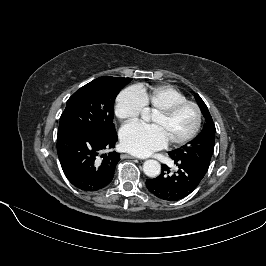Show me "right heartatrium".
I'll use <instances>...</instances> for the list:
<instances>
[{
    "mask_svg": "<svg viewBox=\"0 0 266 266\" xmlns=\"http://www.w3.org/2000/svg\"><path fill=\"white\" fill-rule=\"evenodd\" d=\"M145 108L143 95L138 87L123 89L116 98L115 114L123 121L137 119Z\"/></svg>",
    "mask_w": 266,
    "mask_h": 266,
    "instance_id": "d8ad5b80",
    "label": "right heart atrium"
}]
</instances>
